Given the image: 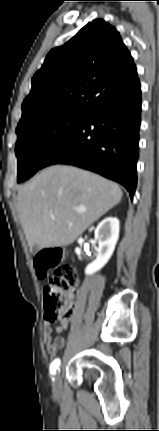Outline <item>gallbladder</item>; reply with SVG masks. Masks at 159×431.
Here are the masks:
<instances>
[{"mask_svg":"<svg viewBox=\"0 0 159 431\" xmlns=\"http://www.w3.org/2000/svg\"><path fill=\"white\" fill-rule=\"evenodd\" d=\"M37 251H38V247H37V246H34V247H33V252H34V253H36Z\"/></svg>","mask_w":159,"mask_h":431,"instance_id":"bac80fb5","label":"gallbladder"}]
</instances>
